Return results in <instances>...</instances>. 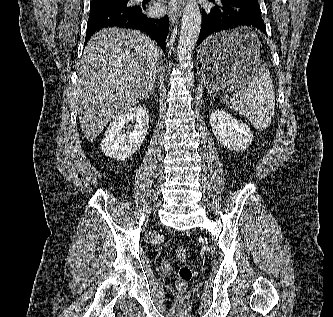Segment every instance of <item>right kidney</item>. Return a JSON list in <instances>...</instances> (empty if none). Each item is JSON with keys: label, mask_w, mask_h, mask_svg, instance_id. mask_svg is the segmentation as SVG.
<instances>
[{"label": "right kidney", "mask_w": 333, "mask_h": 317, "mask_svg": "<svg viewBox=\"0 0 333 317\" xmlns=\"http://www.w3.org/2000/svg\"><path fill=\"white\" fill-rule=\"evenodd\" d=\"M136 121L133 131L125 133L123 127L130 121ZM148 109L138 105L113 119L107 128L101 148L103 153L116 160H125L133 155L143 143L148 129Z\"/></svg>", "instance_id": "ca27d5eb"}]
</instances>
